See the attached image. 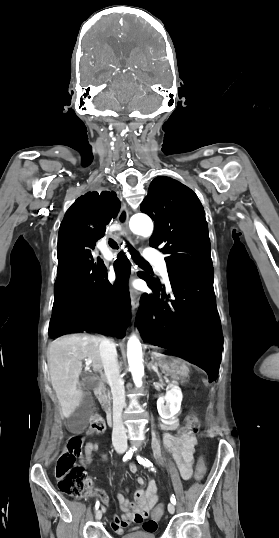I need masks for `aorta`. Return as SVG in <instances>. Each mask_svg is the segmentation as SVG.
<instances>
[{"instance_id": "aorta-1", "label": "aorta", "mask_w": 279, "mask_h": 538, "mask_svg": "<svg viewBox=\"0 0 279 538\" xmlns=\"http://www.w3.org/2000/svg\"><path fill=\"white\" fill-rule=\"evenodd\" d=\"M129 225L132 232L143 237H150L153 232V222L144 214L133 215L130 219ZM127 357L133 381L137 387H141L142 377L144 376L142 347L139 339L135 335H133L128 341Z\"/></svg>"}]
</instances>
